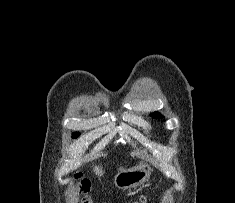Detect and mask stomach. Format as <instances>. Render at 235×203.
<instances>
[{"instance_id":"stomach-1","label":"stomach","mask_w":235,"mask_h":203,"mask_svg":"<svg viewBox=\"0 0 235 203\" xmlns=\"http://www.w3.org/2000/svg\"><path fill=\"white\" fill-rule=\"evenodd\" d=\"M150 174V166L145 163H140L133 168L118 172L114 177V184L120 189L135 188L147 181Z\"/></svg>"}]
</instances>
